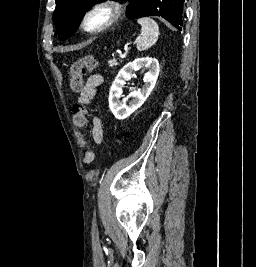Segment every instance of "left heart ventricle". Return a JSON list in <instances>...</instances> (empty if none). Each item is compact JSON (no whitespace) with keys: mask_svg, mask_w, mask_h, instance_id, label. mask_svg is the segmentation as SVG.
Segmentation results:
<instances>
[{"mask_svg":"<svg viewBox=\"0 0 256 267\" xmlns=\"http://www.w3.org/2000/svg\"><path fill=\"white\" fill-rule=\"evenodd\" d=\"M107 18L108 14L106 12H98L92 16L88 25L92 29L98 28L106 22Z\"/></svg>","mask_w":256,"mask_h":267,"instance_id":"left-heart-ventricle-1","label":"left heart ventricle"}]
</instances>
